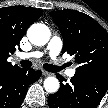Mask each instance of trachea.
Here are the masks:
<instances>
[{"label": "trachea", "mask_w": 108, "mask_h": 108, "mask_svg": "<svg viewBox=\"0 0 108 108\" xmlns=\"http://www.w3.org/2000/svg\"><path fill=\"white\" fill-rule=\"evenodd\" d=\"M20 65L24 68H30L32 66V62L29 60H23L20 62ZM43 68L52 73L59 72L62 69L61 67H57L52 64H43Z\"/></svg>", "instance_id": "1"}]
</instances>
